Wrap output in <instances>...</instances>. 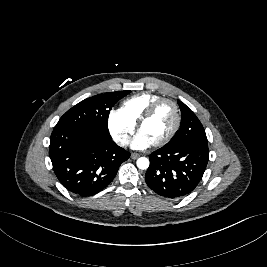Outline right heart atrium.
<instances>
[{"label":"right heart atrium","instance_id":"d8ad5b80","mask_svg":"<svg viewBox=\"0 0 267 267\" xmlns=\"http://www.w3.org/2000/svg\"><path fill=\"white\" fill-rule=\"evenodd\" d=\"M107 124L111 136L120 145H125L135 131V124L127 118L121 109L109 111Z\"/></svg>","mask_w":267,"mask_h":267}]
</instances>
